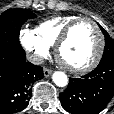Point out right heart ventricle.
<instances>
[{
	"label": "right heart ventricle",
	"mask_w": 114,
	"mask_h": 114,
	"mask_svg": "<svg viewBox=\"0 0 114 114\" xmlns=\"http://www.w3.org/2000/svg\"><path fill=\"white\" fill-rule=\"evenodd\" d=\"M77 18L79 17L74 15L52 17L40 22L33 31L41 42L51 48L56 45L67 25Z\"/></svg>",
	"instance_id": "right-heart-ventricle-1"
}]
</instances>
